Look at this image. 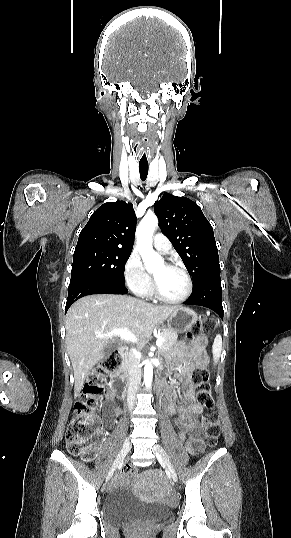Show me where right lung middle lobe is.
<instances>
[{
	"mask_svg": "<svg viewBox=\"0 0 291 538\" xmlns=\"http://www.w3.org/2000/svg\"><path fill=\"white\" fill-rule=\"evenodd\" d=\"M131 251L100 247L75 251L70 284L95 281L125 286L124 268Z\"/></svg>",
	"mask_w": 291,
	"mask_h": 538,
	"instance_id": "dd1d6c3e",
	"label": "right lung middle lobe"
}]
</instances>
